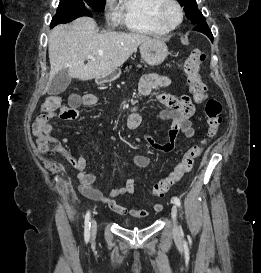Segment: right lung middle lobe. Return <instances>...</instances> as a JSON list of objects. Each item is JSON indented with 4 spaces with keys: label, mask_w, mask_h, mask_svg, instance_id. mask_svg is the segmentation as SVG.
<instances>
[{
    "label": "right lung middle lobe",
    "mask_w": 261,
    "mask_h": 273,
    "mask_svg": "<svg viewBox=\"0 0 261 273\" xmlns=\"http://www.w3.org/2000/svg\"><path fill=\"white\" fill-rule=\"evenodd\" d=\"M105 0H61L57 13L51 21V27L67 23L81 16H92L91 10L101 12Z\"/></svg>",
    "instance_id": "right-lung-middle-lobe-1"
}]
</instances>
